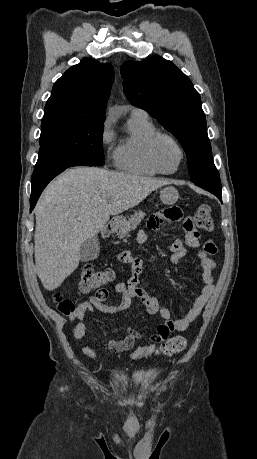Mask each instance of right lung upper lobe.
Segmentation results:
<instances>
[{"mask_svg":"<svg viewBox=\"0 0 257 459\" xmlns=\"http://www.w3.org/2000/svg\"><path fill=\"white\" fill-rule=\"evenodd\" d=\"M113 81L114 69L111 64L84 58L56 81L44 114L105 121L104 108Z\"/></svg>","mask_w":257,"mask_h":459,"instance_id":"obj_1","label":"right lung upper lobe"}]
</instances>
